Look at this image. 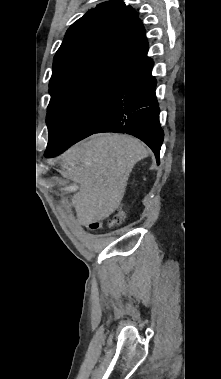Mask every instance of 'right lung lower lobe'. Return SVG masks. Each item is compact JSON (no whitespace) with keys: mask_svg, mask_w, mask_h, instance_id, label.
I'll return each instance as SVG.
<instances>
[{"mask_svg":"<svg viewBox=\"0 0 221 379\" xmlns=\"http://www.w3.org/2000/svg\"><path fill=\"white\" fill-rule=\"evenodd\" d=\"M153 61L124 76L119 85L115 104L94 133H128L145 142L154 152L159 164V153L164 138L160 127L155 89L151 75ZM81 140V139H80ZM79 140L57 141L48 146L45 157H54Z\"/></svg>","mask_w":221,"mask_h":379,"instance_id":"right-lung-lower-lobe-1","label":"right lung lower lobe"}]
</instances>
